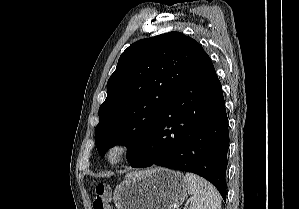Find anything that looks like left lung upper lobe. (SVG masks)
<instances>
[{
  "mask_svg": "<svg viewBox=\"0 0 299 209\" xmlns=\"http://www.w3.org/2000/svg\"><path fill=\"white\" fill-rule=\"evenodd\" d=\"M210 58L180 32L139 40L120 56L99 108L95 143L99 154L125 145L131 162L144 147L168 100L204 69Z\"/></svg>",
  "mask_w": 299,
  "mask_h": 209,
  "instance_id": "left-lung-upper-lobe-1",
  "label": "left lung upper lobe"
}]
</instances>
